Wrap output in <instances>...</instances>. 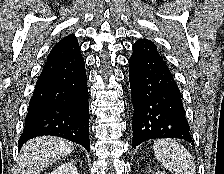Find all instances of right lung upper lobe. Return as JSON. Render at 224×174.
<instances>
[{
	"label": "right lung upper lobe",
	"mask_w": 224,
	"mask_h": 174,
	"mask_svg": "<svg viewBox=\"0 0 224 174\" xmlns=\"http://www.w3.org/2000/svg\"><path fill=\"white\" fill-rule=\"evenodd\" d=\"M79 52L80 48L78 45V41L74 34H70L56 43L47 58V62L62 59Z\"/></svg>",
	"instance_id": "1"
}]
</instances>
